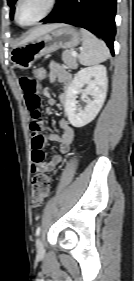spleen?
I'll use <instances>...</instances> for the list:
<instances>
[{"mask_svg":"<svg viewBox=\"0 0 134 281\" xmlns=\"http://www.w3.org/2000/svg\"><path fill=\"white\" fill-rule=\"evenodd\" d=\"M80 32L82 34V50L78 56L80 63L90 66L106 61L110 52L105 42L85 29H81Z\"/></svg>","mask_w":134,"mask_h":281,"instance_id":"obj_1","label":"spleen"}]
</instances>
